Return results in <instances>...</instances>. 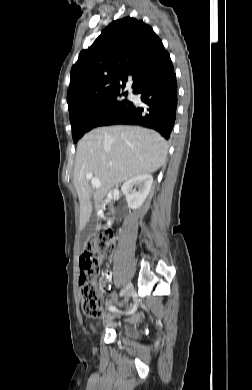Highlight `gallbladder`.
I'll return each mask as SVG.
<instances>
[{"label":"gallbladder","instance_id":"bac80fb5","mask_svg":"<svg viewBox=\"0 0 252 390\" xmlns=\"http://www.w3.org/2000/svg\"><path fill=\"white\" fill-rule=\"evenodd\" d=\"M96 226L97 216L95 214H92L86 226L81 230V239L83 241L88 239L95 232Z\"/></svg>","mask_w":252,"mask_h":390}]
</instances>
